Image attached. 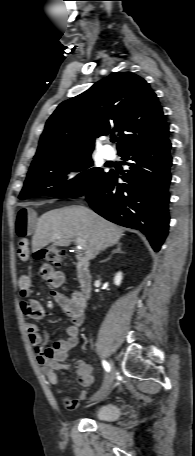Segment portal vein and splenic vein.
<instances>
[{"mask_svg": "<svg viewBox=\"0 0 195 456\" xmlns=\"http://www.w3.org/2000/svg\"><path fill=\"white\" fill-rule=\"evenodd\" d=\"M76 243H77V245H78V249H79V250L82 251V250H85V249H86V246H87V245H86V242H85L84 239L78 237V238H76Z\"/></svg>", "mask_w": 195, "mask_h": 456, "instance_id": "obj_1", "label": "portal vein and splenic vein"}]
</instances>
